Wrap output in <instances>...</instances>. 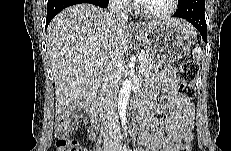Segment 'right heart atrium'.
Here are the masks:
<instances>
[{
    "mask_svg": "<svg viewBox=\"0 0 231 151\" xmlns=\"http://www.w3.org/2000/svg\"><path fill=\"white\" fill-rule=\"evenodd\" d=\"M114 3L121 9H126L128 7V1L126 0H115Z\"/></svg>",
    "mask_w": 231,
    "mask_h": 151,
    "instance_id": "1",
    "label": "right heart atrium"
}]
</instances>
